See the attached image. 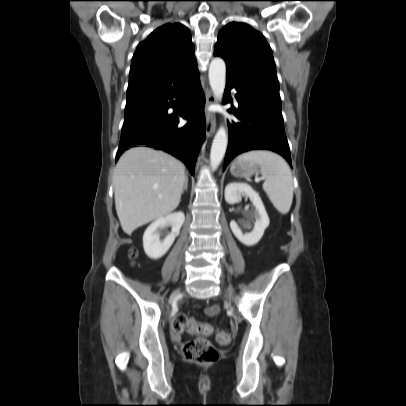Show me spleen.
<instances>
[{
	"mask_svg": "<svg viewBox=\"0 0 406 406\" xmlns=\"http://www.w3.org/2000/svg\"><path fill=\"white\" fill-rule=\"evenodd\" d=\"M239 160L255 163L260 166L263 189L273 206L281 213L287 214L293 200V177L286 161L276 153L266 150H255L241 154Z\"/></svg>",
	"mask_w": 406,
	"mask_h": 406,
	"instance_id": "3e777b00",
	"label": "spleen"
}]
</instances>
